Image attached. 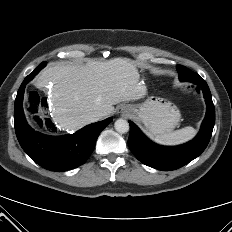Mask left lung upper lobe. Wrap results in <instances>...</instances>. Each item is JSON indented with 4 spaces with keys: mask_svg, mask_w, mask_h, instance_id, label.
I'll use <instances>...</instances> for the list:
<instances>
[{
    "mask_svg": "<svg viewBox=\"0 0 232 232\" xmlns=\"http://www.w3.org/2000/svg\"><path fill=\"white\" fill-rule=\"evenodd\" d=\"M178 72H179V78H180V80L183 81V75L180 73V69L179 68H178Z\"/></svg>",
    "mask_w": 232,
    "mask_h": 232,
    "instance_id": "5c2ea615",
    "label": "left lung upper lobe"
}]
</instances>
